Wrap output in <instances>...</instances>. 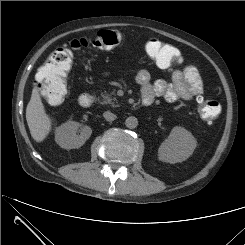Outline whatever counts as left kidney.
<instances>
[{
	"label": "left kidney",
	"mask_w": 245,
	"mask_h": 245,
	"mask_svg": "<svg viewBox=\"0 0 245 245\" xmlns=\"http://www.w3.org/2000/svg\"><path fill=\"white\" fill-rule=\"evenodd\" d=\"M197 141L194 136L183 127L176 126L169 137L158 149L159 160L167 163H177L188 159L194 152Z\"/></svg>",
	"instance_id": "left-kidney-1"
}]
</instances>
